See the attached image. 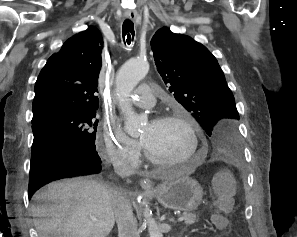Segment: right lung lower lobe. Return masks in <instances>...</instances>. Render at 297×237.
Returning a JSON list of instances; mask_svg holds the SVG:
<instances>
[{
	"mask_svg": "<svg viewBox=\"0 0 297 237\" xmlns=\"http://www.w3.org/2000/svg\"><path fill=\"white\" fill-rule=\"evenodd\" d=\"M28 195L56 180L99 174L102 162L95 148L64 139L38 144L31 151Z\"/></svg>",
	"mask_w": 297,
	"mask_h": 237,
	"instance_id": "1",
	"label": "right lung lower lobe"
}]
</instances>
